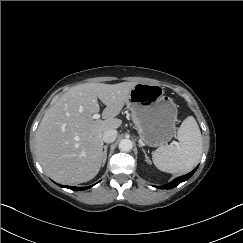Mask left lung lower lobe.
<instances>
[{
    "instance_id": "1",
    "label": "left lung lower lobe",
    "mask_w": 243,
    "mask_h": 243,
    "mask_svg": "<svg viewBox=\"0 0 243 243\" xmlns=\"http://www.w3.org/2000/svg\"><path fill=\"white\" fill-rule=\"evenodd\" d=\"M197 168H198V166L193 171H191L190 173L174 179L173 181H171L170 183H168L165 186H158L156 188H159V189H172V188L176 187L178 184H180L181 182H184V181L188 180L194 174V172L197 170Z\"/></svg>"
}]
</instances>
